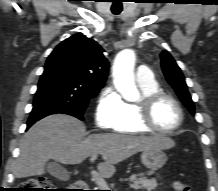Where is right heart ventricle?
<instances>
[{"instance_id":"obj_1","label":"right heart ventricle","mask_w":218,"mask_h":191,"mask_svg":"<svg viewBox=\"0 0 218 191\" xmlns=\"http://www.w3.org/2000/svg\"><path fill=\"white\" fill-rule=\"evenodd\" d=\"M142 94L151 93L159 90L157 82L153 81L148 84L138 83ZM114 130L124 134H145L149 132L139 121L137 103L123 102L122 114L116 123Z\"/></svg>"}]
</instances>
